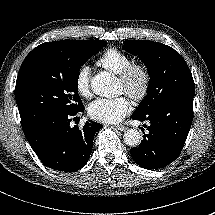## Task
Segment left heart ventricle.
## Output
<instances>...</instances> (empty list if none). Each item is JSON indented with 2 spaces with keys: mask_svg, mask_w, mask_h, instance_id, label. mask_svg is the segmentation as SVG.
<instances>
[{
  "mask_svg": "<svg viewBox=\"0 0 215 215\" xmlns=\"http://www.w3.org/2000/svg\"><path fill=\"white\" fill-rule=\"evenodd\" d=\"M118 85H119L120 91H121V92L124 91V84H123L121 81H119V80H118ZM139 85H140V78H139V76L137 75V76L134 78L133 86H134L135 88H138Z\"/></svg>",
  "mask_w": 215,
  "mask_h": 215,
  "instance_id": "b2bd125f",
  "label": "left heart ventricle"
}]
</instances>
